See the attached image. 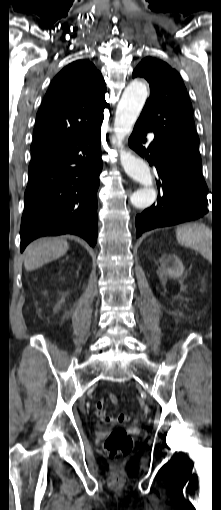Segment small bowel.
I'll use <instances>...</instances> for the list:
<instances>
[{
	"label": "small bowel",
	"instance_id": "small-bowel-1",
	"mask_svg": "<svg viewBox=\"0 0 221 510\" xmlns=\"http://www.w3.org/2000/svg\"><path fill=\"white\" fill-rule=\"evenodd\" d=\"M114 394H110L109 395V398L110 396H112ZM94 412L96 414V416H98L100 419H102L103 421L105 422H111L114 420L113 417L109 416L107 414V411H106V398L100 400L96 405H95V409H94Z\"/></svg>",
	"mask_w": 221,
	"mask_h": 510
}]
</instances>
